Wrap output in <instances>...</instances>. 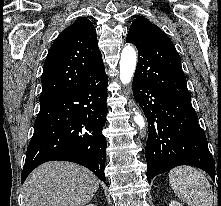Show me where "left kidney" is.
Returning a JSON list of instances; mask_svg holds the SVG:
<instances>
[{"instance_id":"left-kidney-1","label":"left kidney","mask_w":221,"mask_h":206,"mask_svg":"<svg viewBox=\"0 0 221 206\" xmlns=\"http://www.w3.org/2000/svg\"><path fill=\"white\" fill-rule=\"evenodd\" d=\"M169 206H183L182 204H180L178 201H171Z\"/></svg>"}]
</instances>
